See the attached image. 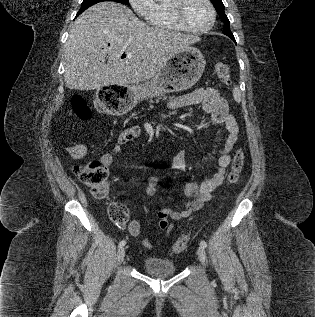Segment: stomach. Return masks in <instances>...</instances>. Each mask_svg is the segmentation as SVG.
Listing matches in <instances>:
<instances>
[{
    "label": "stomach",
    "instance_id": "obj_1",
    "mask_svg": "<svg viewBox=\"0 0 315 317\" xmlns=\"http://www.w3.org/2000/svg\"><path fill=\"white\" fill-rule=\"evenodd\" d=\"M205 64L201 51L187 47L172 56L150 81L137 86L104 84L103 88H99V95L111 97H100V104L110 114H131V109L137 108L143 99L192 87L202 76Z\"/></svg>",
    "mask_w": 315,
    "mask_h": 317
}]
</instances>
